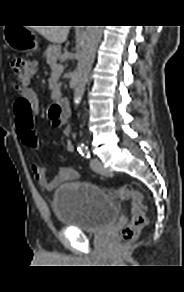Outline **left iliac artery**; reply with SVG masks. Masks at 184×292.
Wrapping results in <instances>:
<instances>
[{
    "instance_id": "1",
    "label": "left iliac artery",
    "mask_w": 184,
    "mask_h": 292,
    "mask_svg": "<svg viewBox=\"0 0 184 292\" xmlns=\"http://www.w3.org/2000/svg\"><path fill=\"white\" fill-rule=\"evenodd\" d=\"M79 153L86 159H89L91 157L89 148L87 146L81 145L78 148Z\"/></svg>"
}]
</instances>
